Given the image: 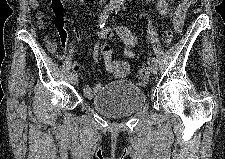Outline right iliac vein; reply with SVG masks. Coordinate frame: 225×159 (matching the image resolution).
I'll return each instance as SVG.
<instances>
[{
	"label": "right iliac vein",
	"instance_id": "obj_1",
	"mask_svg": "<svg viewBox=\"0 0 225 159\" xmlns=\"http://www.w3.org/2000/svg\"><path fill=\"white\" fill-rule=\"evenodd\" d=\"M70 82L71 84L76 85L78 83V76L76 74L70 76Z\"/></svg>",
	"mask_w": 225,
	"mask_h": 159
}]
</instances>
